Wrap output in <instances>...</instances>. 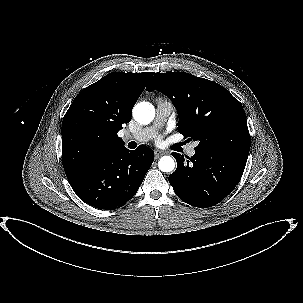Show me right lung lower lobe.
I'll return each instance as SVG.
<instances>
[{"label": "right lung lower lobe", "mask_w": 303, "mask_h": 303, "mask_svg": "<svg viewBox=\"0 0 303 303\" xmlns=\"http://www.w3.org/2000/svg\"><path fill=\"white\" fill-rule=\"evenodd\" d=\"M154 161L151 148L113 151L67 176L74 192L99 209L114 210L129 201Z\"/></svg>", "instance_id": "98d812e1"}]
</instances>
